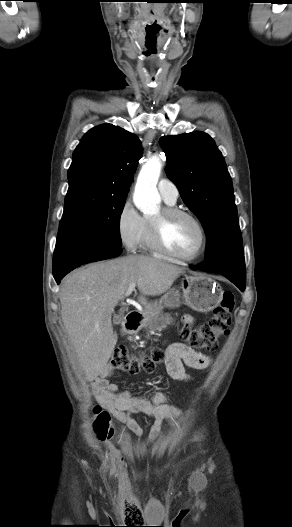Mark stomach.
<instances>
[{
	"label": "stomach",
	"mask_w": 292,
	"mask_h": 527,
	"mask_svg": "<svg viewBox=\"0 0 292 527\" xmlns=\"http://www.w3.org/2000/svg\"><path fill=\"white\" fill-rule=\"evenodd\" d=\"M222 295L221 287L210 277L201 274L184 275L179 289L169 290L159 302L149 303L145 307L143 326L159 317L164 307L178 308L185 304L197 312H209L219 305Z\"/></svg>",
	"instance_id": "stomach-1"
}]
</instances>
